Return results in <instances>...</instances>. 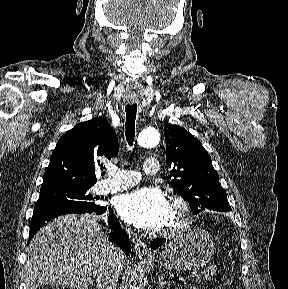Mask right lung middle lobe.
Instances as JSON below:
<instances>
[{
  "label": "right lung middle lobe",
  "mask_w": 288,
  "mask_h": 289,
  "mask_svg": "<svg viewBox=\"0 0 288 289\" xmlns=\"http://www.w3.org/2000/svg\"><path fill=\"white\" fill-rule=\"evenodd\" d=\"M87 188L57 187L40 189V196L35 208L44 206H68L81 209H95L100 205L96 204L93 196Z\"/></svg>",
  "instance_id": "right-lung-middle-lobe-1"
}]
</instances>
